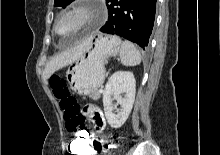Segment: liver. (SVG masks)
Segmentation results:
<instances>
[{
	"label": "liver",
	"mask_w": 220,
	"mask_h": 155,
	"mask_svg": "<svg viewBox=\"0 0 220 155\" xmlns=\"http://www.w3.org/2000/svg\"><path fill=\"white\" fill-rule=\"evenodd\" d=\"M88 47L89 43H83L82 45L70 48L54 56L45 66V69L43 71L44 81L47 83V80L57 70L78 60L88 49Z\"/></svg>",
	"instance_id": "1"
}]
</instances>
